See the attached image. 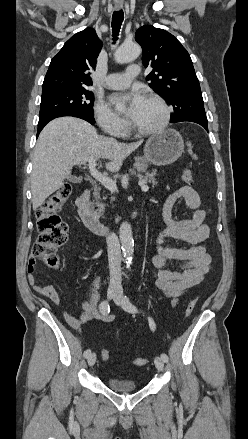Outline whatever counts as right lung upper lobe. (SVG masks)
I'll list each match as a JSON object with an SVG mask.
<instances>
[{"instance_id":"obj_1","label":"right lung upper lobe","mask_w":248,"mask_h":439,"mask_svg":"<svg viewBox=\"0 0 248 439\" xmlns=\"http://www.w3.org/2000/svg\"><path fill=\"white\" fill-rule=\"evenodd\" d=\"M102 45L92 28L76 33L53 57L46 73L42 95L92 84L91 70Z\"/></svg>"}]
</instances>
